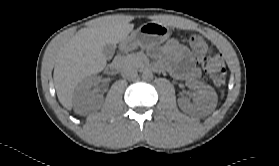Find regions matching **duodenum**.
<instances>
[{"mask_svg":"<svg viewBox=\"0 0 279 166\" xmlns=\"http://www.w3.org/2000/svg\"><path fill=\"white\" fill-rule=\"evenodd\" d=\"M130 48V45L129 43H126L122 50H121V53L118 54L114 60L109 64L107 70L110 74L114 75V74H117L123 67V62H124V57H123V53L128 51ZM154 69H156L155 66H153Z\"/></svg>","mask_w":279,"mask_h":166,"instance_id":"410a0bca","label":"duodenum"}]
</instances>
